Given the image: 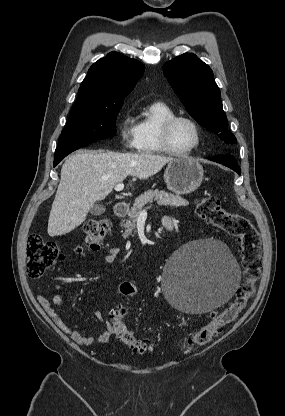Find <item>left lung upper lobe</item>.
<instances>
[{
    "label": "left lung upper lobe",
    "mask_w": 285,
    "mask_h": 416,
    "mask_svg": "<svg viewBox=\"0 0 285 416\" xmlns=\"http://www.w3.org/2000/svg\"><path fill=\"white\" fill-rule=\"evenodd\" d=\"M163 71L189 114L225 143L236 144L227 128L220 90L210 67L196 55L185 53L166 62Z\"/></svg>",
    "instance_id": "left-lung-upper-lobe-1"
}]
</instances>
